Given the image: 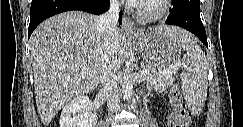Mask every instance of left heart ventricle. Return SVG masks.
Segmentation results:
<instances>
[{
  "instance_id": "left-heart-ventricle-1",
  "label": "left heart ventricle",
  "mask_w": 243,
  "mask_h": 127,
  "mask_svg": "<svg viewBox=\"0 0 243 127\" xmlns=\"http://www.w3.org/2000/svg\"><path fill=\"white\" fill-rule=\"evenodd\" d=\"M143 7L146 11H154L158 8V1L156 0L144 1Z\"/></svg>"
}]
</instances>
